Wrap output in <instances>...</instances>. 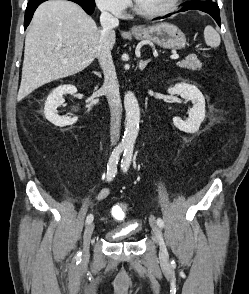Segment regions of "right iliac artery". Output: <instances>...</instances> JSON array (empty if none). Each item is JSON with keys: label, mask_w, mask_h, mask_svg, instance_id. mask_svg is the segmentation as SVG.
Returning a JSON list of instances; mask_svg holds the SVG:
<instances>
[{"label": "right iliac artery", "mask_w": 249, "mask_h": 294, "mask_svg": "<svg viewBox=\"0 0 249 294\" xmlns=\"http://www.w3.org/2000/svg\"><path fill=\"white\" fill-rule=\"evenodd\" d=\"M125 148H126L125 145L120 144L113 150L107 165V174H106L107 181H111L115 177L117 173V165H118L120 155L123 153V151H125ZM92 221H93V215L89 214L86 218V224H89ZM81 254L82 253L78 251L77 254L75 255V260L77 262L81 261Z\"/></svg>", "instance_id": "obj_1"}]
</instances>
